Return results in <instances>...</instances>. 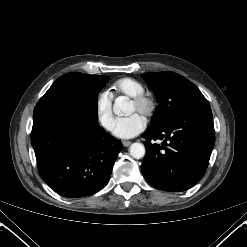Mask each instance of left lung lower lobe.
Segmentation results:
<instances>
[{
	"label": "left lung lower lobe",
	"mask_w": 247,
	"mask_h": 247,
	"mask_svg": "<svg viewBox=\"0 0 247 247\" xmlns=\"http://www.w3.org/2000/svg\"><path fill=\"white\" fill-rule=\"evenodd\" d=\"M146 155L141 169L145 179L165 191H185L203 177L215 142L213 116L210 106L199 107L148 128ZM163 140L161 145L151 140Z\"/></svg>",
	"instance_id": "obj_1"
}]
</instances>
